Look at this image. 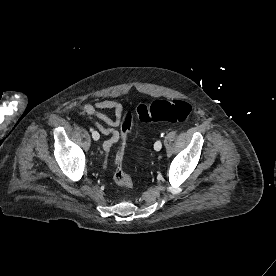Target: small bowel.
Segmentation results:
<instances>
[{"instance_id": "1", "label": "small bowel", "mask_w": 276, "mask_h": 276, "mask_svg": "<svg viewBox=\"0 0 276 276\" xmlns=\"http://www.w3.org/2000/svg\"><path fill=\"white\" fill-rule=\"evenodd\" d=\"M106 110L113 111L114 116L111 117L106 114ZM81 111L93 120L95 127L101 134L108 136V139L103 143L105 151L108 152L115 143L124 138V135L118 130V127L123 126L124 117V108L120 102L106 99L94 104L85 103L81 106Z\"/></svg>"}]
</instances>
